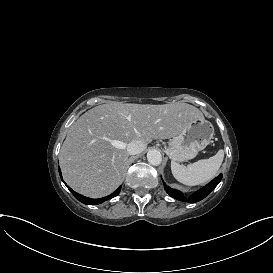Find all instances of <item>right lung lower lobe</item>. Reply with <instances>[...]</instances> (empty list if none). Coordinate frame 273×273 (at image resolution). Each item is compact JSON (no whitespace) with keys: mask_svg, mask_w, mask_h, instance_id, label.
<instances>
[{"mask_svg":"<svg viewBox=\"0 0 273 273\" xmlns=\"http://www.w3.org/2000/svg\"><path fill=\"white\" fill-rule=\"evenodd\" d=\"M58 170H59L60 177L62 178L61 171H60L59 167H58ZM65 185H66V183H65ZM67 188L72 192V194L74 195L75 198H77L80 202H82V203H84L86 205H94V204L103 202L105 200L111 199L113 197H116L120 193V190H121V186H120L116 191H114L111 195H109V196H107L105 198H102V199H91V198H87V197H84V196L76 193L69 186H67Z\"/></svg>","mask_w":273,"mask_h":273,"instance_id":"98d812e1","label":"right lung lower lobe"}]
</instances>
